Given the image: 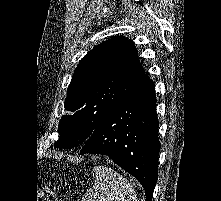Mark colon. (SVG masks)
Listing matches in <instances>:
<instances>
[{
	"label": "colon",
	"mask_w": 221,
	"mask_h": 201,
	"mask_svg": "<svg viewBox=\"0 0 221 201\" xmlns=\"http://www.w3.org/2000/svg\"><path fill=\"white\" fill-rule=\"evenodd\" d=\"M40 197L44 201H63L57 195V191L54 188L49 187L47 184H43L40 189Z\"/></svg>",
	"instance_id": "colon-1"
}]
</instances>
